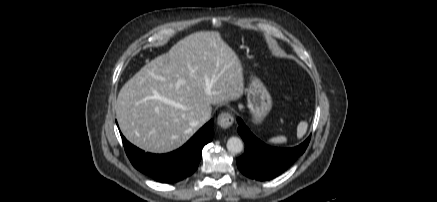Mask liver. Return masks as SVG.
I'll list each match as a JSON object with an SVG mask.
<instances>
[{"instance_id": "obj_1", "label": "liver", "mask_w": 437, "mask_h": 202, "mask_svg": "<svg viewBox=\"0 0 437 202\" xmlns=\"http://www.w3.org/2000/svg\"><path fill=\"white\" fill-rule=\"evenodd\" d=\"M243 91V67L235 51L219 33L200 31L127 81L115 111L128 141L146 152L167 153L203 125L200 117L211 113V105L237 100Z\"/></svg>"}]
</instances>
